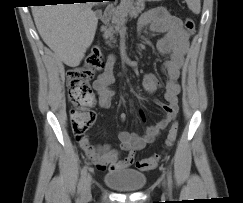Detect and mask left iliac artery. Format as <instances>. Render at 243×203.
<instances>
[{"label":"left iliac artery","mask_w":243,"mask_h":203,"mask_svg":"<svg viewBox=\"0 0 243 203\" xmlns=\"http://www.w3.org/2000/svg\"><path fill=\"white\" fill-rule=\"evenodd\" d=\"M168 185H169V187L172 186V179H171L170 173H168Z\"/></svg>","instance_id":"1"}]
</instances>
